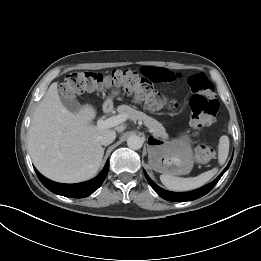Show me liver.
I'll use <instances>...</instances> for the list:
<instances>
[{"label": "liver", "instance_id": "1", "mask_svg": "<svg viewBox=\"0 0 261 261\" xmlns=\"http://www.w3.org/2000/svg\"><path fill=\"white\" fill-rule=\"evenodd\" d=\"M58 83L50 85L36 108L28 130V150L35 167L47 178L77 183L93 178L101 165L104 149L99 137L105 131L91 125L96 110L86 104L78 112L61 103ZM126 126L114 128L123 132Z\"/></svg>", "mask_w": 261, "mask_h": 261}]
</instances>
